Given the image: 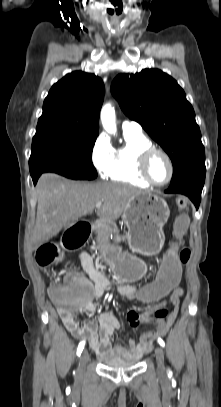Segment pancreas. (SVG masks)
I'll use <instances>...</instances> for the list:
<instances>
[{
    "instance_id": "cf45deb5",
    "label": "pancreas",
    "mask_w": 221,
    "mask_h": 407,
    "mask_svg": "<svg viewBox=\"0 0 221 407\" xmlns=\"http://www.w3.org/2000/svg\"><path fill=\"white\" fill-rule=\"evenodd\" d=\"M126 240V238H121V237H119L117 240H116V242L117 243H120L121 241H125Z\"/></svg>"
}]
</instances>
